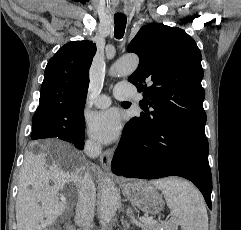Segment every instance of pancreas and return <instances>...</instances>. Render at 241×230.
I'll list each match as a JSON object with an SVG mask.
<instances>
[{
    "mask_svg": "<svg viewBox=\"0 0 241 230\" xmlns=\"http://www.w3.org/2000/svg\"><path fill=\"white\" fill-rule=\"evenodd\" d=\"M177 225L178 224L175 219H170L154 225L145 224L142 226V228L143 230H177Z\"/></svg>",
    "mask_w": 241,
    "mask_h": 230,
    "instance_id": "obj_1",
    "label": "pancreas"
}]
</instances>
